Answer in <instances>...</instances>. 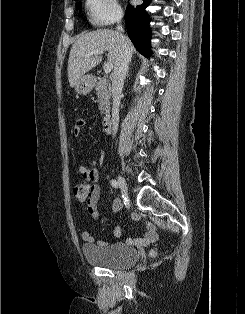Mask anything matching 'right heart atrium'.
Segmentation results:
<instances>
[{
    "label": "right heart atrium",
    "instance_id": "d8ad5b80",
    "mask_svg": "<svg viewBox=\"0 0 245 314\" xmlns=\"http://www.w3.org/2000/svg\"><path fill=\"white\" fill-rule=\"evenodd\" d=\"M86 8L90 22L98 27L111 25L122 16L117 0H86Z\"/></svg>",
    "mask_w": 245,
    "mask_h": 314
}]
</instances>
